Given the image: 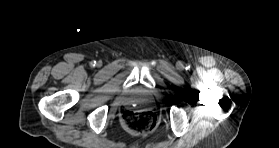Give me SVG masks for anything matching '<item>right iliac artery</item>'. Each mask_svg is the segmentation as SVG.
Returning a JSON list of instances; mask_svg holds the SVG:
<instances>
[{
  "instance_id": "right-iliac-artery-1",
  "label": "right iliac artery",
  "mask_w": 279,
  "mask_h": 148,
  "mask_svg": "<svg viewBox=\"0 0 279 148\" xmlns=\"http://www.w3.org/2000/svg\"><path fill=\"white\" fill-rule=\"evenodd\" d=\"M95 64H96V62H95V61L91 62V65H92V66H95Z\"/></svg>"
}]
</instances>
